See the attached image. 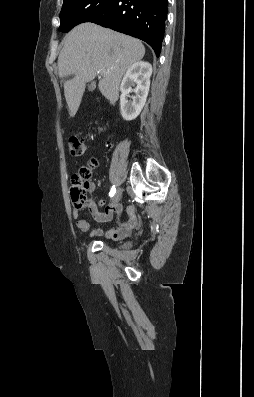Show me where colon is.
I'll return each instance as SVG.
<instances>
[{
    "label": "colon",
    "instance_id": "1",
    "mask_svg": "<svg viewBox=\"0 0 254 397\" xmlns=\"http://www.w3.org/2000/svg\"><path fill=\"white\" fill-rule=\"evenodd\" d=\"M69 150L73 156H82L86 151L85 143L78 136L69 138ZM96 165L95 161H91L87 166L82 167L79 172L72 177L71 199L76 208L89 207L92 203L89 197V180L91 178V170Z\"/></svg>",
    "mask_w": 254,
    "mask_h": 397
}]
</instances>
